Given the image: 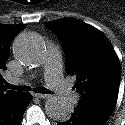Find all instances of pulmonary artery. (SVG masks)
<instances>
[{
	"instance_id": "1",
	"label": "pulmonary artery",
	"mask_w": 125,
	"mask_h": 125,
	"mask_svg": "<svg viewBox=\"0 0 125 125\" xmlns=\"http://www.w3.org/2000/svg\"><path fill=\"white\" fill-rule=\"evenodd\" d=\"M42 62L45 65V77L49 87L53 89L62 99L71 102L75 101L76 93L61 76V62L58 51L55 49L47 50L42 57ZM18 82L19 81L16 79L11 80V83L13 84Z\"/></svg>"
}]
</instances>
